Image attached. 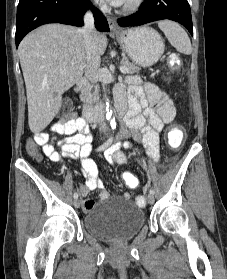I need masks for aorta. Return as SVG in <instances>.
I'll return each instance as SVG.
<instances>
[{"mask_svg":"<svg viewBox=\"0 0 227 279\" xmlns=\"http://www.w3.org/2000/svg\"><path fill=\"white\" fill-rule=\"evenodd\" d=\"M105 101H106V107H105L106 118L109 121L110 125L112 127H115L116 126L115 117L113 116V111L106 97H105Z\"/></svg>","mask_w":227,"mask_h":279,"instance_id":"aorta-1","label":"aorta"}]
</instances>
